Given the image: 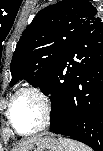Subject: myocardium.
Instances as JSON below:
<instances>
[{
    "mask_svg": "<svg viewBox=\"0 0 103 151\" xmlns=\"http://www.w3.org/2000/svg\"><path fill=\"white\" fill-rule=\"evenodd\" d=\"M24 94H28V95L35 97L38 100L40 107H41V111H42V118H41L40 124L35 129L28 131V132L19 131L17 129V127L15 126V124L12 120V115H11L12 108H13L15 101ZM51 114H52V106H51L49 96L42 89H40L39 87H35V86H28V87H23V88L19 89L11 97L9 104H8L7 111H6V117L8 119L9 124L11 125L12 129L21 136L32 135V134H35V133H38V132L44 130L50 123Z\"/></svg>",
    "mask_w": 103,
    "mask_h": 151,
    "instance_id": "f54148a6",
    "label": "myocardium"
}]
</instances>
